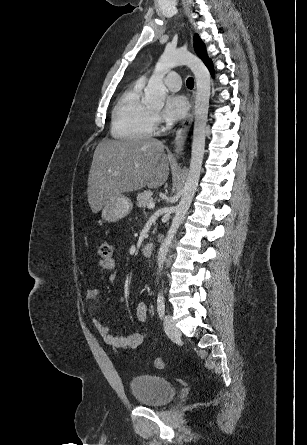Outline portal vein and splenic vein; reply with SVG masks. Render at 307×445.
Instances as JSON below:
<instances>
[{"label":"portal vein and splenic vein","mask_w":307,"mask_h":445,"mask_svg":"<svg viewBox=\"0 0 307 445\" xmlns=\"http://www.w3.org/2000/svg\"><path fill=\"white\" fill-rule=\"evenodd\" d=\"M109 172H112V174H118V172H113V170H109ZM155 202H148L147 208H154Z\"/></svg>","instance_id":"portal-vein-and-splenic-vein-1"}]
</instances>
